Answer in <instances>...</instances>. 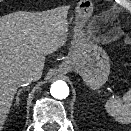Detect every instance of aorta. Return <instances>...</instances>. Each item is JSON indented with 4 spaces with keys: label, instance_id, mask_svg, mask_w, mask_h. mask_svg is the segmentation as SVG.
Instances as JSON below:
<instances>
[{
    "label": "aorta",
    "instance_id": "obj_1",
    "mask_svg": "<svg viewBox=\"0 0 131 131\" xmlns=\"http://www.w3.org/2000/svg\"><path fill=\"white\" fill-rule=\"evenodd\" d=\"M50 93L55 99H65L69 95V87L66 82L58 80L51 85Z\"/></svg>",
    "mask_w": 131,
    "mask_h": 131
}]
</instances>
